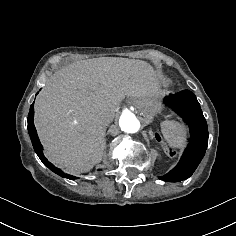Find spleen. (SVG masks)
<instances>
[{
	"label": "spleen",
	"instance_id": "spleen-1",
	"mask_svg": "<svg viewBox=\"0 0 236 236\" xmlns=\"http://www.w3.org/2000/svg\"><path fill=\"white\" fill-rule=\"evenodd\" d=\"M163 133L168 142L173 146H183V131L181 126L174 122L163 123Z\"/></svg>",
	"mask_w": 236,
	"mask_h": 236
}]
</instances>
